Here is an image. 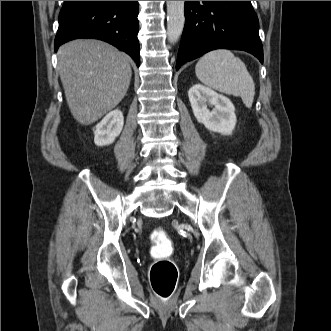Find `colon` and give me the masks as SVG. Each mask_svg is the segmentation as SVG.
<instances>
[{
	"mask_svg": "<svg viewBox=\"0 0 331 331\" xmlns=\"http://www.w3.org/2000/svg\"><path fill=\"white\" fill-rule=\"evenodd\" d=\"M150 238L153 243L151 253L154 257L149 270L150 283L157 299L165 303L176 291L178 267L170 258L172 242L168 233L162 228H157L152 231Z\"/></svg>",
	"mask_w": 331,
	"mask_h": 331,
	"instance_id": "colon-1",
	"label": "colon"
}]
</instances>
